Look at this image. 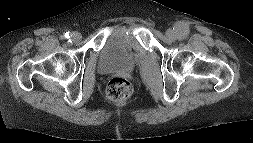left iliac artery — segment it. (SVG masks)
Listing matches in <instances>:
<instances>
[{
  "label": "left iliac artery",
  "mask_w": 253,
  "mask_h": 143,
  "mask_svg": "<svg viewBox=\"0 0 253 143\" xmlns=\"http://www.w3.org/2000/svg\"><path fill=\"white\" fill-rule=\"evenodd\" d=\"M188 34V29L185 27H182L180 29V34H179V38H185Z\"/></svg>",
  "instance_id": "left-iliac-artery-1"
}]
</instances>
